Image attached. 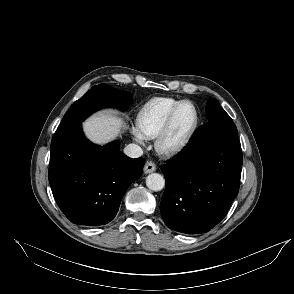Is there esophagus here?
<instances>
[{
  "label": "esophagus",
  "mask_w": 294,
  "mask_h": 294,
  "mask_svg": "<svg viewBox=\"0 0 294 294\" xmlns=\"http://www.w3.org/2000/svg\"><path fill=\"white\" fill-rule=\"evenodd\" d=\"M156 170V165L152 161H147L144 166V172L146 174L154 172Z\"/></svg>",
  "instance_id": "obj_1"
}]
</instances>
